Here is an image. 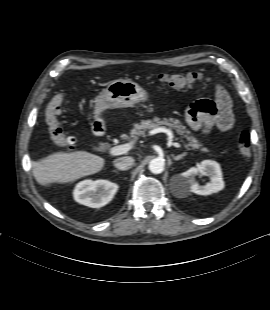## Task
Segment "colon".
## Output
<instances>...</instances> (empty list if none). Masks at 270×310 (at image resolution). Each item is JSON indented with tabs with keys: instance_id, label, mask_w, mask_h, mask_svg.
Here are the masks:
<instances>
[{
	"instance_id": "colon-1",
	"label": "colon",
	"mask_w": 270,
	"mask_h": 310,
	"mask_svg": "<svg viewBox=\"0 0 270 310\" xmlns=\"http://www.w3.org/2000/svg\"><path fill=\"white\" fill-rule=\"evenodd\" d=\"M159 81L171 88L180 89L190 87L196 84H209L211 79L202 73L181 74H161L158 77ZM64 102V93H56L48 103L45 111V121L48 126L51 139L59 146L73 151L76 148V141L73 137L67 136L64 133L62 122L58 116L62 112ZM197 108L208 114L215 113V105L213 102L205 99L197 102ZM236 143L239 154L242 158L248 159L251 154V137L248 131H242L237 135Z\"/></svg>"
}]
</instances>
